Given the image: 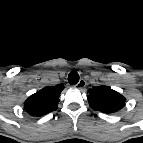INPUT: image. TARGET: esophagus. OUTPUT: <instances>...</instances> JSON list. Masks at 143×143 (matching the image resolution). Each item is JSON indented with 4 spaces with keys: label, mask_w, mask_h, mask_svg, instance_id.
<instances>
[{
    "label": "esophagus",
    "mask_w": 143,
    "mask_h": 143,
    "mask_svg": "<svg viewBox=\"0 0 143 143\" xmlns=\"http://www.w3.org/2000/svg\"><path fill=\"white\" fill-rule=\"evenodd\" d=\"M86 86V81L84 79H80V81L76 84L78 89H83Z\"/></svg>",
    "instance_id": "obj_1"
}]
</instances>
